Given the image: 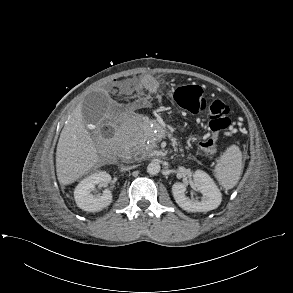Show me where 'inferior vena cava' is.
Returning a JSON list of instances; mask_svg holds the SVG:
<instances>
[{
    "label": "inferior vena cava",
    "instance_id": "602c4592",
    "mask_svg": "<svg viewBox=\"0 0 293 293\" xmlns=\"http://www.w3.org/2000/svg\"><path fill=\"white\" fill-rule=\"evenodd\" d=\"M129 169H131V167H125V166L121 167V171H127Z\"/></svg>",
    "mask_w": 293,
    "mask_h": 293
}]
</instances>
